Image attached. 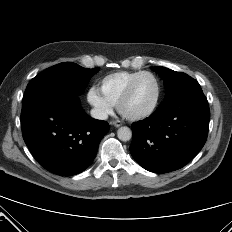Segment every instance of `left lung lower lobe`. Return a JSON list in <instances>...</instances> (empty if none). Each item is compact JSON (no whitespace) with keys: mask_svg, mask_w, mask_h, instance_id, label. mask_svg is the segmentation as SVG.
<instances>
[{"mask_svg":"<svg viewBox=\"0 0 232 232\" xmlns=\"http://www.w3.org/2000/svg\"><path fill=\"white\" fill-rule=\"evenodd\" d=\"M209 119L202 89L191 90L132 124L130 152L148 171L167 173L180 169L204 146Z\"/></svg>","mask_w":232,"mask_h":232,"instance_id":"obj_1","label":"left lung lower lobe"}]
</instances>
